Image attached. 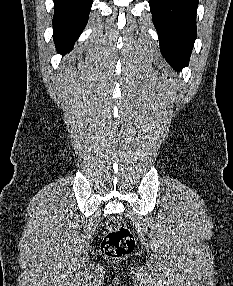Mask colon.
Returning a JSON list of instances; mask_svg holds the SVG:
<instances>
[{"label":"colon","mask_w":233,"mask_h":286,"mask_svg":"<svg viewBox=\"0 0 233 286\" xmlns=\"http://www.w3.org/2000/svg\"><path fill=\"white\" fill-rule=\"evenodd\" d=\"M106 230L107 233L101 244V250L105 256L118 258L132 251L134 237L122 218L111 217L107 222Z\"/></svg>","instance_id":"colon-1"}]
</instances>
